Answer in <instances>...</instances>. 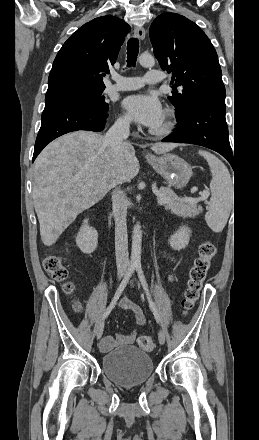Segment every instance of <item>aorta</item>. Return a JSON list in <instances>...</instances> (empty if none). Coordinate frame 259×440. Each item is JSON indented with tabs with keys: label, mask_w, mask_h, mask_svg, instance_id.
<instances>
[{
	"label": "aorta",
	"mask_w": 259,
	"mask_h": 440,
	"mask_svg": "<svg viewBox=\"0 0 259 440\" xmlns=\"http://www.w3.org/2000/svg\"><path fill=\"white\" fill-rule=\"evenodd\" d=\"M140 65L146 68H152L155 65V60L150 54H141L138 58ZM141 245H142V230L140 223H136L132 234V251L131 261L140 262L141 260Z\"/></svg>",
	"instance_id": "1"
}]
</instances>
